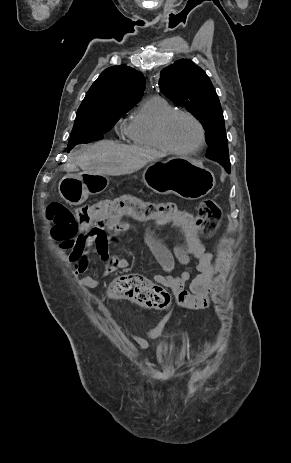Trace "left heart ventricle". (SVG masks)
Wrapping results in <instances>:
<instances>
[{
  "label": "left heart ventricle",
  "mask_w": 291,
  "mask_h": 463,
  "mask_svg": "<svg viewBox=\"0 0 291 463\" xmlns=\"http://www.w3.org/2000/svg\"><path fill=\"white\" fill-rule=\"evenodd\" d=\"M170 142L177 148L189 149L197 145L200 131L197 125L187 117H177L167 130Z\"/></svg>",
  "instance_id": "1"
}]
</instances>
